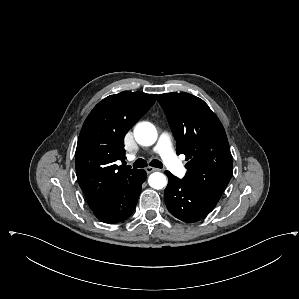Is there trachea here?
I'll list each match as a JSON object with an SVG mask.
<instances>
[{
    "instance_id": "obj_1",
    "label": "trachea",
    "mask_w": 299,
    "mask_h": 299,
    "mask_svg": "<svg viewBox=\"0 0 299 299\" xmlns=\"http://www.w3.org/2000/svg\"><path fill=\"white\" fill-rule=\"evenodd\" d=\"M150 166L152 167H156V168H162L163 167V164L159 161V160H152L150 163H149ZM147 166V162L144 160V159H137L134 164H133V167L134 168H143V167H146Z\"/></svg>"
}]
</instances>
